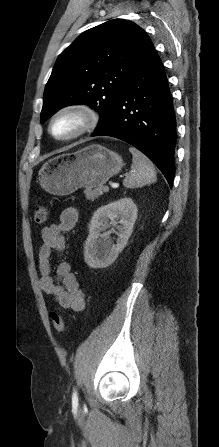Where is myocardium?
<instances>
[{"mask_svg": "<svg viewBox=\"0 0 219 447\" xmlns=\"http://www.w3.org/2000/svg\"><path fill=\"white\" fill-rule=\"evenodd\" d=\"M76 115L80 122L79 126L71 133L57 136L53 133V124L61 116ZM100 121V115L96 109L83 103H72L59 108L52 114L48 121V132L56 140L70 141L77 139L96 128Z\"/></svg>", "mask_w": 219, "mask_h": 447, "instance_id": "f54148a6", "label": "myocardium"}]
</instances>
